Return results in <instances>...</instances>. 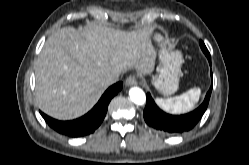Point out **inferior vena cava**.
Returning a JSON list of instances; mask_svg holds the SVG:
<instances>
[{"label":"inferior vena cava","mask_w":249,"mask_h":165,"mask_svg":"<svg viewBox=\"0 0 249 165\" xmlns=\"http://www.w3.org/2000/svg\"><path fill=\"white\" fill-rule=\"evenodd\" d=\"M119 76L120 75H118V74L117 75L109 74V75L105 76L103 78L104 85L109 86V85L116 83L119 80Z\"/></svg>","instance_id":"1"}]
</instances>
